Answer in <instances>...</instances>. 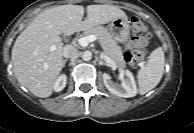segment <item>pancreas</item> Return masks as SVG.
Instances as JSON below:
<instances>
[{"instance_id": "cf45deb5", "label": "pancreas", "mask_w": 194, "mask_h": 133, "mask_svg": "<svg viewBox=\"0 0 194 133\" xmlns=\"http://www.w3.org/2000/svg\"><path fill=\"white\" fill-rule=\"evenodd\" d=\"M85 36L95 35L98 37L99 42L104 50V53L115 61L118 65L124 66L125 60L122 54V49L117 45L114 37L108 32V30L102 26H97L88 29L84 32Z\"/></svg>"}]
</instances>
